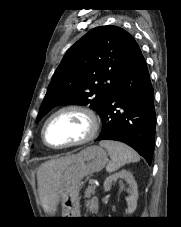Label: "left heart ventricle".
Listing matches in <instances>:
<instances>
[{
  "instance_id": "1",
  "label": "left heart ventricle",
  "mask_w": 181,
  "mask_h": 227,
  "mask_svg": "<svg viewBox=\"0 0 181 227\" xmlns=\"http://www.w3.org/2000/svg\"><path fill=\"white\" fill-rule=\"evenodd\" d=\"M88 130L86 118L76 112H64L49 123L46 137L53 145H63L83 137Z\"/></svg>"
}]
</instances>
